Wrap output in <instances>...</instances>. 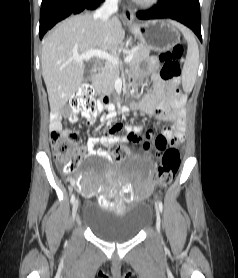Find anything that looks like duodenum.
<instances>
[{
	"instance_id": "410a0bca",
	"label": "duodenum",
	"mask_w": 238,
	"mask_h": 278,
	"mask_svg": "<svg viewBox=\"0 0 238 278\" xmlns=\"http://www.w3.org/2000/svg\"><path fill=\"white\" fill-rule=\"evenodd\" d=\"M99 72H100V68L97 67V66L94 67L92 69V78L94 79L98 75ZM101 100L104 101V102H107L108 98L106 96H102Z\"/></svg>"
}]
</instances>
